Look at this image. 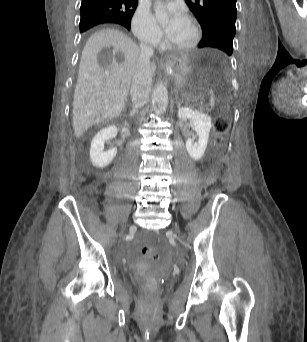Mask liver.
I'll return each instance as SVG.
<instances>
[{"label": "liver", "mask_w": 307, "mask_h": 342, "mask_svg": "<svg viewBox=\"0 0 307 342\" xmlns=\"http://www.w3.org/2000/svg\"><path fill=\"white\" fill-rule=\"evenodd\" d=\"M139 56L138 46L119 30H99L88 38L73 98L76 138H81L90 126L121 114ZM151 70H156L154 62Z\"/></svg>", "instance_id": "6515ba94"}]
</instances>
